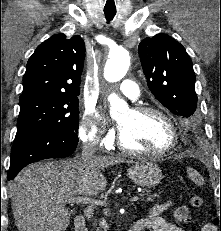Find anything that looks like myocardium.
<instances>
[{
  "label": "myocardium",
  "instance_id": "obj_1",
  "mask_svg": "<svg viewBox=\"0 0 221 231\" xmlns=\"http://www.w3.org/2000/svg\"><path fill=\"white\" fill-rule=\"evenodd\" d=\"M131 111L139 115L156 114L162 117L164 120L167 121V123L169 124L171 128L172 141L169 146L159 151L138 150V149L131 148L124 143V140H123V137L120 131L118 134L117 145L122 151L128 154H131V155H141V156H147V157H163L171 153L173 150L177 148L178 143H179V131H178L177 124L173 116L170 113H168L167 111L161 108L154 107V106H148V105L135 106L131 109Z\"/></svg>",
  "mask_w": 221,
  "mask_h": 231
}]
</instances>
